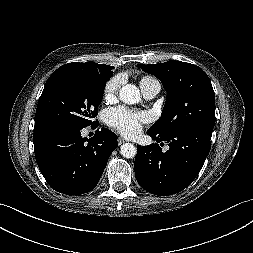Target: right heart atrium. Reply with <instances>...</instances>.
<instances>
[{
  "label": "right heart atrium",
  "instance_id": "d8ad5b80",
  "mask_svg": "<svg viewBox=\"0 0 253 253\" xmlns=\"http://www.w3.org/2000/svg\"><path fill=\"white\" fill-rule=\"evenodd\" d=\"M121 83L122 79L120 76H115L106 83L104 88V97L106 100H112L116 97Z\"/></svg>",
  "mask_w": 253,
  "mask_h": 253
}]
</instances>
